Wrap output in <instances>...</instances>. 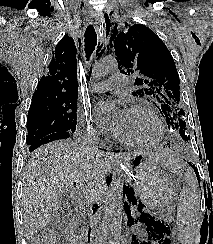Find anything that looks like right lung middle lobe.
<instances>
[{
  "instance_id": "obj_1",
  "label": "right lung middle lobe",
  "mask_w": 213,
  "mask_h": 244,
  "mask_svg": "<svg viewBox=\"0 0 213 244\" xmlns=\"http://www.w3.org/2000/svg\"><path fill=\"white\" fill-rule=\"evenodd\" d=\"M77 98L69 96L32 99L27 118V144L60 131L76 129Z\"/></svg>"
}]
</instances>
